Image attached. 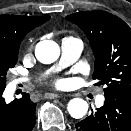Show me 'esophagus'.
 <instances>
[{
  "label": "esophagus",
  "instance_id": "34e87169",
  "mask_svg": "<svg viewBox=\"0 0 131 131\" xmlns=\"http://www.w3.org/2000/svg\"><path fill=\"white\" fill-rule=\"evenodd\" d=\"M59 97H61V95L55 94V93H47V94H45V98H49V99H55V98H59Z\"/></svg>",
  "mask_w": 131,
  "mask_h": 131
}]
</instances>
